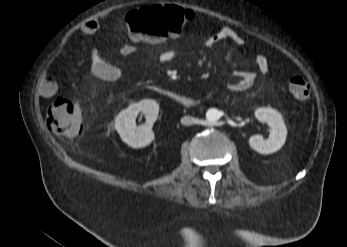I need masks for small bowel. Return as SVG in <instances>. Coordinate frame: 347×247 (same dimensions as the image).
<instances>
[{
    "label": "small bowel",
    "mask_w": 347,
    "mask_h": 247,
    "mask_svg": "<svg viewBox=\"0 0 347 247\" xmlns=\"http://www.w3.org/2000/svg\"><path fill=\"white\" fill-rule=\"evenodd\" d=\"M101 27V21L99 19H90L85 21L79 31L90 36L96 33ZM179 34L172 35L173 38L178 37ZM229 41L236 47H242L245 45L243 36L231 27H221L215 33L210 35L204 40L206 47L214 46L220 42ZM139 40H131L130 43H124L121 45L119 51L123 56H132L137 52L135 43ZM68 47H64L60 53L62 58L68 55ZM175 52L171 49L164 50L159 53L158 59L161 63H169L174 59ZM256 66L260 72H267L269 69V60L264 55H258L256 57ZM91 72L99 80L106 82H113L119 80L124 75L122 67L107 62L100 52H95L91 59ZM231 77L233 81L227 83L229 90L234 92H240L251 88L256 81V73L254 71H238L232 73ZM39 91L45 97L54 95L58 90V85L48 73H43L38 81Z\"/></svg>",
    "instance_id": "small-bowel-1"
}]
</instances>
